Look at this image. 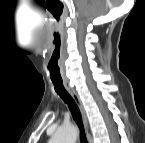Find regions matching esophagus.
<instances>
[{"instance_id":"34e87169","label":"esophagus","mask_w":145,"mask_h":143,"mask_svg":"<svg viewBox=\"0 0 145 143\" xmlns=\"http://www.w3.org/2000/svg\"><path fill=\"white\" fill-rule=\"evenodd\" d=\"M65 88L68 91V93L71 95V97L74 99V101L76 102L80 113H81V117H82V121L84 124L85 129H88V122H87V117H86V113H85V109L84 106L81 102V99L79 97V95L77 94V92L68 84H65Z\"/></svg>"}]
</instances>
